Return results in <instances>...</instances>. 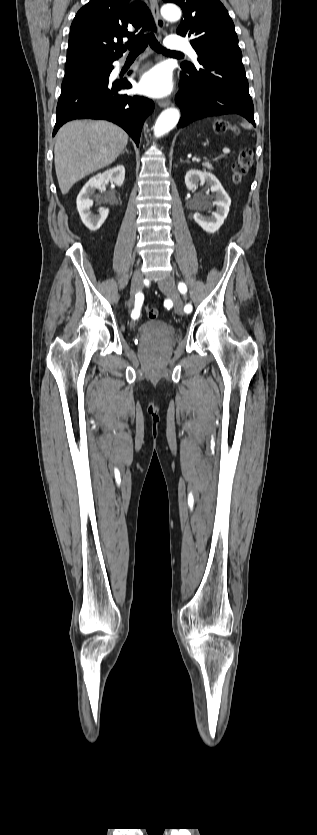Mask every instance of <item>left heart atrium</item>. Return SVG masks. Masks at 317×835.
<instances>
[{"label": "left heart atrium", "mask_w": 317, "mask_h": 835, "mask_svg": "<svg viewBox=\"0 0 317 835\" xmlns=\"http://www.w3.org/2000/svg\"><path fill=\"white\" fill-rule=\"evenodd\" d=\"M170 72L163 66H155L141 77L138 89L141 93L151 97H163L172 90Z\"/></svg>", "instance_id": "39dd6f15"}]
</instances>
